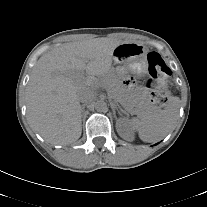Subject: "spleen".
<instances>
[{"instance_id": "spleen-1", "label": "spleen", "mask_w": 207, "mask_h": 207, "mask_svg": "<svg viewBox=\"0 0 207 207\" xmlns=\"http://www.w3.org/2000/svg\"><path fill=\"white\" fill-rule=\"evenodd\" d=\"M180 108V99L172 97L160 113L142 119L133 118L129 122L131 130L138 132L139 138L148 143L165 137L175 126Z\"/></svg>"}]
</instances>
